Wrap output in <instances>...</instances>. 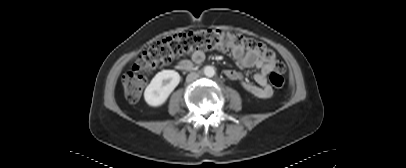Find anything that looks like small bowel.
Here are the masks:
<instances>
[{
    "label": "small bowel",
    "mask_w": 406,
    "mask_h": 168,
    "mask_svg": "<svg viewBox=\"0 0 406 168\" xmlns=\"http://www.w3.org/2000/svg\"><path fill=\"white\" fill-rule=\"evenodd\" d=\"M232 55L242 67L259 69V72L254 74L256 85L247 82L243 74L236 70H226V77L230 80L240 81L244 90L257 98H270L273 90L267 83V76L274 69V62H266L257 52L251 50L233 51ZM192 59L195 63H201L205 59V54L203 51L195 52Z\"/></svg>",
    "instance_id": "c3829d8e"
}]
</instances>
